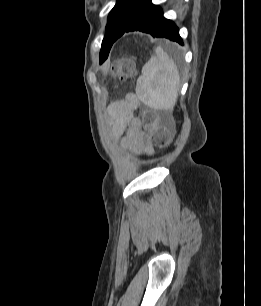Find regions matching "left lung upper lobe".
<instances>
[{
    "instance_id": "obj_1",
    "label": "left lung upper lobe",
    "mask_w": 261,
    "mask_h": 306,
    "mask_svg": "<svg viewBox=\"0 0 261 306\" xmlns=\"http://www.w3.org/2000/svg\"><path fill=\"white\" fill-rule=\"evenodd\" d=\"M145 2L146 0H117L108 17L107 32L101 46L100 63L106 60L113 43L121 36Z\"/></svg>"
}]
</instances>
